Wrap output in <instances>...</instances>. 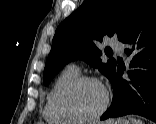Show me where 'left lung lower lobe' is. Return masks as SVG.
Here are the masks:
<instances>
[{"instance_id": "0a47b994", "label": "left lung lower lobe", "mask_w": 156, "mask_h": 124, "mask_svg": "<svg viewBox=\"0 0 156 124\" xmlns=\"http://www.w3.org/2000/svg\"><path fill=\"white\" fill-rule=\"evenodd\" d=\"M122 42L128 44L129 80L122 78L124 67L118 63L110 79L112 104L100 120L138 114L156 122V0Z\"/></svg>"}]
</instances>
